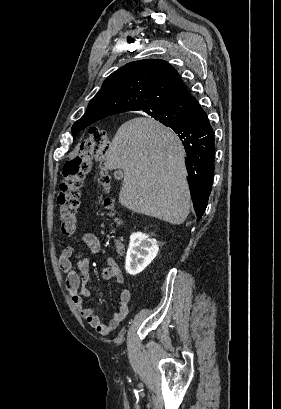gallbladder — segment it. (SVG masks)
<instances>
[{"label": "gallbladder", "instance_id": "gallbladder-1", "mask_svg": "<svg viewBox=\"0 0 281 409\" xmlns=\"http://www.w3.org/2000/svg\"><path fill=\"white\" fill-rule=\"evenodd\" d=\"M114 176H122V174H121V172H118V170H117V172H114Z\"/></svg>", "mask_w": 281, "mask_h": 409}]
</instances>
